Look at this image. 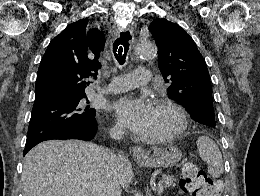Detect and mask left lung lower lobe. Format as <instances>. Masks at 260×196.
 <instances>
[{
	"label": "left lung lower lobe",
	"mask_w": 260,
	"mask_h": 196,
	"mask_svg": "<svg viewBox=\"0 0 260 196\" xmlns=\"http://www.w3.org/2000/svg\"><path fill=\"white\" fill-rule=\"evenodd\" d=\"M191 118L201 124L208 125L215 121L213 107L198 106L191 111Z\"/></svg>",
	"instance_id": "left-lung-lower-lobe-1"
}]
</instances>
